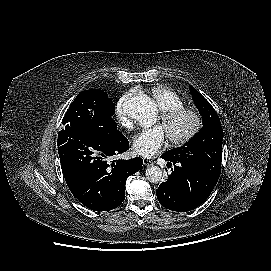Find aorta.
<instances>
[{
  "mask_svg": "<svg viewBox=\"0 0 271 271\" xmlns=\"http://www.w3.org/2000/svg\"><path fill=\"white\" fill-rule=\"evenodd\" d=\"M130 116L144 126L152 125L157 117V105L147 95H140L133 98L130 104ZM146 178L151 183H157L162 178V170L157 166L146 169Z\"/></svg>",
  "mask_w": 271,
  "mask_h": 271,
  "instance_id": "aorta-1",
  "label": "aorta"
}]
</instances>
